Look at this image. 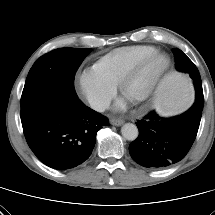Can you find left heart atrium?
I'll return each mask as SVG.
<instances>
[{"mask_svg":"<svg viewBox=\"0 0 215 215\" xmlns=\"http://www.w3.org/2000/svg\"><path fill=\"white\" fill-rule=\"evenodd\" d=\"M125 106H126V101H125V99L119 100L118 103H117V105H116V107H117L118 109H124Z\"/></svg>","mask_w":215,"mask_h":215,"instance_id":"39dd6f15","label":"left heart atrium"}]
</instances>
